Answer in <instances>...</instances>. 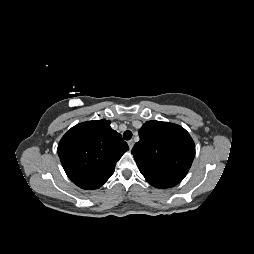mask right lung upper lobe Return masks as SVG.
I'll list each match as a JSON object with an SVG mask.
<instances>
[{"label":"right lung upper lobe","mask_w":254,"mask_h":254,"mask_svg":"<svg viewBox=\"0 0 254 254\" xmlns=\"http://www.w3.org/2000/svg\"><path fill=\"white\" fill-rule=\"evenodd\" d=\"M127 150V143L110 127V121L102 119L72 127L60 140L57 152L69 179L92 190L110 178Z\"/></svg>","instance_id":"1"}]
</instances>
